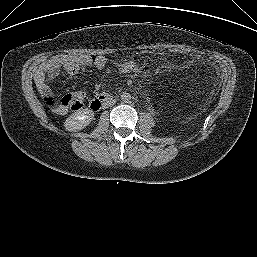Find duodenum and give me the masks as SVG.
Instances as JSON below:
<instances>
[{"mask_svg":"<svg viewBox=\"0 0 257 257\" xmlns=\"http://www.w3.org/2000/svg\"><path fill=\"white\" fill-rule=\"evenodd\" d=\"M114 100L115 98L113 95L108 93H101L91 100L90 108L94 111H98L101 108L112 104Z\"/></svg>","mask_w":257,"mask_h":257,"instance_id":"duodenum-1","label":"duodenum"}]
</instances>
